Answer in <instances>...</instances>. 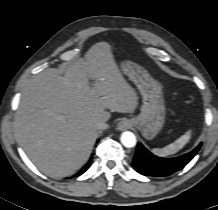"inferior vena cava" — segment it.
I'll list each match as a JSON object with an SVG mask.
<instances>
[{
  "mask_svg": "<svg viewBox=\"0 0 218 210\" xmlns=\"http://www.w3.org/2000/svg\"><path fill=\"white\" fill-rule=\"evenodd\" d=\"M97 130H104L108 128V124L105 123V121H99L96 123Z\"/></svg>",
  "mask_w": 218,
  "mask_h": 210,
  "instance_id": "602c4592",
  "label": "inferior vena cava"
}]
</instances>
